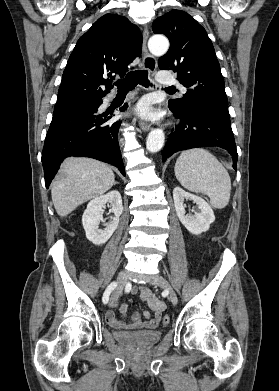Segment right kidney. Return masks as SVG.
Wrapping results in <instances>:
<instances>
[{"label": "right kidney", "instance_id": "right-kidney-1", "mask_svg": "<svg viewBox=\"0 0 279 391\" xmlns=\"http://www.w3.org/2000/svg\"><path fill=\"white\" fill-rule=\"evenodd\" d=\"M106 204L111 205L110 211L114 216L110 217V221L104 224L105 228L102 230L99 229V223L103 221V208ZM122 212V198L117 190H112L91 200L82 216L86 238L95 245L106 243L117 229Z\"/></svg>", "mask_w": 279, "mask_h": 391}]
</instances>
